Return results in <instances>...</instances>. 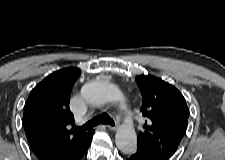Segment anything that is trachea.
Here are the masks:
<instances>
[{"mask_svg":"<svg viewBox=\"0 0 225 160\" xmlns=\"http://www.w3.org/2000/svg\"><path fill=\"white\" fill-rule=\"evenodd\" d=\"M99 123L114 125L113 119L108 114L103 113L100 116L95 117L92 120L88 121L83 126L76 127V130L77 131L84 132L86 130H89V129L93 128L94 126L98 125Z\"/></svg>","mask_w":225,"mask_h":160,"instance_id":"trachea-1","label":"trachea"}]
</instances>
